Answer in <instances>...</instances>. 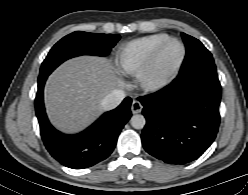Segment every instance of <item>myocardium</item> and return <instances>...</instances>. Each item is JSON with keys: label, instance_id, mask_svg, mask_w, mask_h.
<instances>
[{"label": "myocardium", "instance_id": "myocardium-1", "mask_svg": "<svg viewBox=\"0 0 248 195\" xmlns=\"http://www.w3.org/2000/svg\"><path fill=\"white\" fill-rule=\"evenodd\" d=\"M177 42L181 46V55L174 66L162 72L160 71V60L169 44ZM186 57L184 43L175 37L166 39L154 52L147 66L137 75L139 86L147 92H156L166 87L180 71Z\"/></svg>", "mask_w": 248, "mask_h": 195}]
</instances>
